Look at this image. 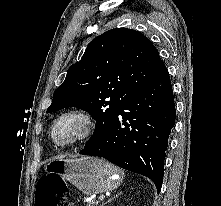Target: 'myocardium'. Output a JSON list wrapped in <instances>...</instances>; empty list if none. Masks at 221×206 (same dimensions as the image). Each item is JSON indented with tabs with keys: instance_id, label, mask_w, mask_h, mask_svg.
I'll return each mask as SVG.
<instances>
[{
	"instance_id": "obj_1",
	"label": "myocardium",
	"mask_w": 221,
	"mask_h": 206,
	"mask_svg": "<svg viewBox=\"0 0 221 206\" xmlns=\"http://www.w3.org/2000/svg\"><path fill=\"white\" fill-rule=\"evenodd\" d=\"M69 122L77 124L75 131L63 139H58V130ZM92 129L93 121L90 114L84 109L72 108L62 112L53 120L49 128V138L55 146L65 148L84 142L91 135Z\"/></svg>"
}]
</instances>
